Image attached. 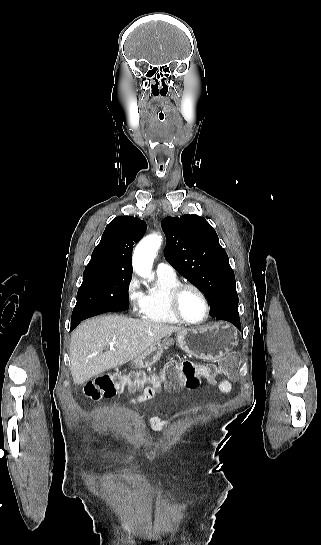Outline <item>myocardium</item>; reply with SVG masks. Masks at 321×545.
Segmentation results:
<instances>
[{
	"label": "myocardium",
	"mask_w": 321,
	"mask_h": 545,
	"mask_svg": "<svg viewBox=\"0 0 321 545\" xmlns=\"http://www.w3.org/2000/svg\"><path fill=\"white\" fill-rule=\"evenodd\" d=\"M187 289L194 290L195 292L198 293V295L202 299V302H203V305H204V308H205V314H204L203 318L201 320L197 321V322H188V321H186L185 319L182 318V316L180 315L179 310H178V299H179L181 293L184 290H187ZM166 307H167V310H168L169 314L171 315V317L174 319V321L177 324L185 326V327H191V328H197V327H200L203 324H205L207 322V320L209 319L210 312H211L210 303H209V300H208L206 294L204 293V291L199 286H197L195 284H192V283H179L176 286H174L173 288H171L166 293Z\"/></svg>",
	"instance_id": "myocardium-1"
}]
</instances>
